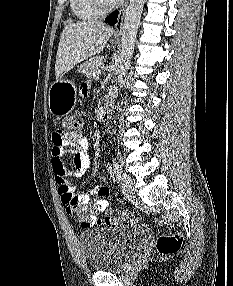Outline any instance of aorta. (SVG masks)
Masks as SVG:
<instances>
[{
  "label": "aorta",
  "instance_id": "aorta-1",
  "mask_svg": "<svg viewBox=\"0 0 233 286\" xmlns=\"http://www.w3.org/2000/svg\"><path fill=\"white\" fill-rule=\"evenodd\" d=\"M144 3L145 0H130L129 6L125 12L121 39L122 48L118 58L117 69L118 80L120 82L123 81V78L129 69Z\"/></svg>",
  "mask_w": 233,
  "mask_h": 286
}]
</instances>
